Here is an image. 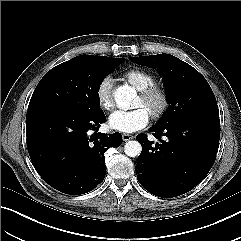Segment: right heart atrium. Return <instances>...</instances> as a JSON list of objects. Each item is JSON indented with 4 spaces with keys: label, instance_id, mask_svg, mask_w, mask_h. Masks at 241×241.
<instances>
[{
    "label": "right heart atrium",
    "instance_id": "d8ad5b80",
    "mask_svg": "<svg viewBox=\"0 0 241 241\" xmlns=\"http://www.w3.org/2000/svg\"><path fill=\"white\" fill-rule=\"evenodd\" d=\"M112 89L113 82L109 76L104 77L97 85L95 92L96 99L103 110L109 111L114 107Z\"/></svg>",
    "mask_w": 241,
    "mask_h": 241
}]
</instances>
